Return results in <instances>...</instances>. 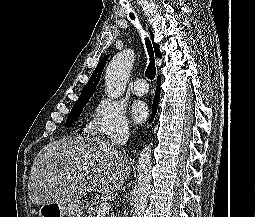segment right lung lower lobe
<instances>
[{
  "label": "right lung lower lobe",
  "instance_id": "obj_1",
  "mask_svg": "<svg viewBox=\"0 0 255 217\" xmlns=\"http://www.w3.org/2000/svg\"><path fill=\"white\" fill-rule=\"evenodd\" d=\"M157 84H158V86H157L156 95H155V98H154V101H153V114H152V117H151V121L154 119V115L156 113L157 106H158V101H159V98H160V84H161L160 76L157 79Z\"/></svg>",
  "mask_w": 255,
  "mask_h": 217
}]
</instances>
